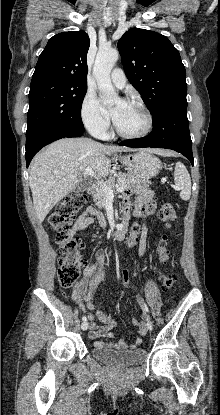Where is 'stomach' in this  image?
Here are the masks:
<instances>
[{
  "label": "stomach",
  "instance_id": "obj_1",
  "mask_svg": "<svg viewBox=\"0 0 220 415\" xmlns=\"http://www.w3.org/2000/svg\"><path fill=\"white\" fill-rule=\"evenodd\" d=\"M119 160L129 172L141 179L155 177L162 168L161 161L145 150L120 156Z\"/></svg>",
  "mask_w": 220,
  "mask_h": 415
}]
</instances>
